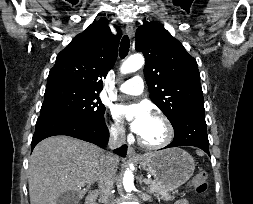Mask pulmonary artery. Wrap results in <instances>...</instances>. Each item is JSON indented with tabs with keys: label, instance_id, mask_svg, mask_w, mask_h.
Wrapping results in <instances>:
<instances>
[{
	"label": "pulmonary artery",
	"instance_id": "e3ab8cb5",
	"mask_svg": "<svg viewBox=\"0 0 253 204\" xmlns=\"http://www.w3.org/2000/svg\"><path fill=\"white\" fill-rule=\"evenodd\" d=\"M144 89V80L140 76H134L125 81L119 87V92L126 95H140Z\"/></svg>",
	"mask_w": 253,
	"mask_h": 204
}]
</instances>
